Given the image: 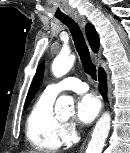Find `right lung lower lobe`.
Wrapping results in <instances>:
<instances>
[{
	"instance_id": "obj_1",
	"label": "right lung lower lobe",
	"mask_w": 130,
	"mask_h": 153,
	"mask_svg": "<svg viewBox=\"0 0 130 153\" xmlns=\"http://www.w3.org/2000/svg\"><path fill=\"white\" fill-rule=\"evenodd\" d=\"M98 77H99V82H100V84H99L100 92L103 96H105L106 91H107V88H106V74H105L103 69H99Z\"/></svg>"
}]
</instances>
